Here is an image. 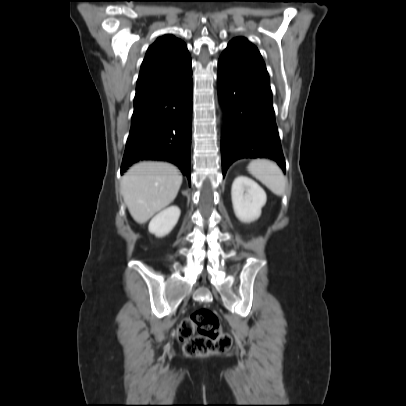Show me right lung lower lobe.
Here are the masks:
<instances>
[{"instance_id":"right-lung-lower-lobe-1","label":"right lung lower lobe","mask_w":406,"mask_h":406,"mask_svg":"<svg viewBox=\"0 0 406 406\" xmlns=\"http://www.w3.org/2000/svg\"><path fill=\"white\" fill-rule=\"evenodd\" d=\"M192 97V68L135 97L121 173L139 160L167 161L177 165L190 182Z\"/></svg>"}]
</instances>
